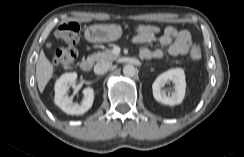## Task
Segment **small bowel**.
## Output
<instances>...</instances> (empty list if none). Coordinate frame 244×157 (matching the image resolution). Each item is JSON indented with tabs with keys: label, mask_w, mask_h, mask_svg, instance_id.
I'll use <instances>...</instances> for the list:
<instances>
[{
	"label": "small bowel",
	"mask_w": 244,
	"mask_h": 157,
	"mask_svg": "<svg viewBox=\"0 0 244 157\" xmlns=\"http://www.w3.org/2000/svg\"><path fill=\"white\" fill-rule=\"evenodd\" d=\"M156 41L163 46H167L168 53L171 56L185 55L192 46V38L189 31L180 30L173 26H168L160 36L139 34L133 38V42L136 44H148ZM140 56L146 60L158 59L163 56V50L142 48Z\"/></svg>",
	"instance_id": "1"
}]
</instances>
